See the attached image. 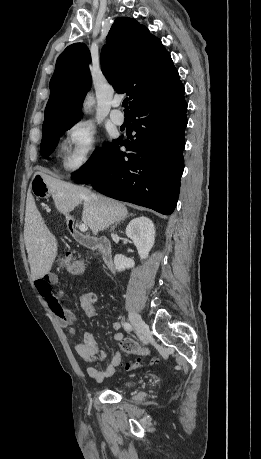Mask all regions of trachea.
<instances>
[{
    "label": "trachea",
    "instance_id": "obj_1",
    "mask_svg": "<svg viewBox=\"0 0 261 459\" xmlns=\"http://www.w3.org/2000/svg\"><path fill=\"white\" fill-rule=\"evenodd\" d=\"M122 106L125 108V110H128V99H124Z\"/></svg>",
    "mask_w": 261,
    "mask_h": 459
}]
</instances>
